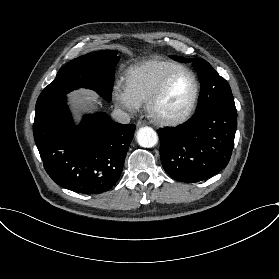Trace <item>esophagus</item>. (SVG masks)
Segmentation results:
<instances>
[{
	"label": "esophagus",
	"instance_id": "esophagus-1",
	"mask_svg": "<svg viewBox=\"0 0 279 279\" xmlns=\"http://www.w3.org/2000/svg\"><path fill=\"white\" fill-rule=\"evenodd\" d=\"M145 125H146V122L143 121V120H140V121L137 122V127H138V128L143 127V126H145Z\"/></svg>",
	"mask_w": 279,
	"mask_h": 279
}]
</instances>
